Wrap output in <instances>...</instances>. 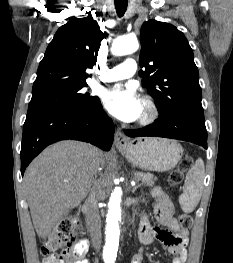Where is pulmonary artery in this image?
Listing matches in <instances>:
<instances>
[{
	"mask_svg": "<svg viewBox=\"0 0 233 263\" xmlns=\"http://www.w3.org/2000/svg\"><path fill=\"white\" fill-rule=\"evenodd\" d=\"M137 70L136 61L132 58L125 59L121 64L107 69L100 78L103 82H114L132 77Z\"/></svg>",
	"mask_w": 233,
	"mask_h": 263,
	"instance_id": "obj_1",
	"label": "pulmonary artery"
}]
</instances>
